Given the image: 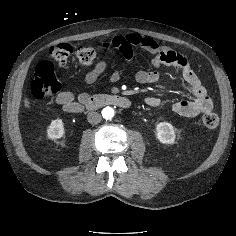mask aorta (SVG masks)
<instances>
[{"mask_svg":"<svg viewBox=\"0 0 236 236\" xmlns=\"http://www.w3.org/2000/svg\"><path fill=\"white\" fill-rule=\"evenodd\" d=\"M115 115V111L113 108L111 107H105L103 110H102V116L103 118L105 119H111L113 118Z\"/></svg>","mask_w":236,"mask_h":236,"instance_id":"obj_1","label":"aorta"}]
</instances>
